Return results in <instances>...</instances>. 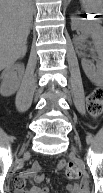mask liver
Wrapping results in <instances>:
<instances>
[{"instance_id":"6515ba94","label":"liver","mask_w":103,"mask_h":193,"mask_svg":"<svg viewBox=\"0 0 103 193\" xmlns=\"http://www.w3.org/2000/svg\"><path fill=\"white\" fill-rule=\"evenodd\" d=\"M0 68L13 65L27 52V37L33 19L31 0L0 1Z\"/></svg>"}]
</instances>
